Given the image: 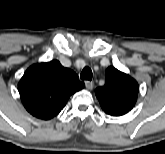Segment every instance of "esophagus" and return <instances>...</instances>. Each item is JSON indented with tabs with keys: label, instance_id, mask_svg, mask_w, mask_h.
<instances>
[{
	"label": "esophagus",
	"instance_id": "esophagus-1",
	"mask_svg": "<svg viewBox=\"0 0 165 154\" xmlns=\"http://www.w3.org/2000/svg\"><path fill=\"white\" fill-rule=\"evenodd\" d=\"M85 86L88 90H92L94 87V83L92 81H85Z\"/></svg>",
	"mask_w": 165,
	"mask_h": 154
}]
</instances>
